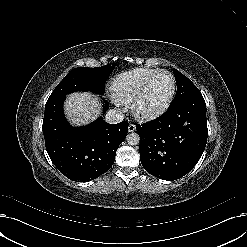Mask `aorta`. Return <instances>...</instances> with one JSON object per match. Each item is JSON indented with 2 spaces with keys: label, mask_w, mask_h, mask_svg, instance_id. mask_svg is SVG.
Segmentation results:
<instances>
[{
  "label": "aorta",
  "mask_w": 247,
  "mask_h": 247,
  "mask_svg": "<svg viewBox=\"0 0 247 247\" xmlns=\"http://www.w3.org/2000/svg\"><path fill=\"white\" fill-rule=\"evenodd\" d=\"M126 140L129 145H137L139 144L140 137L137 133L133 132L127 135Z\"/></svg>",
  "instance_id": "aorta-1"
}]
</instances>
